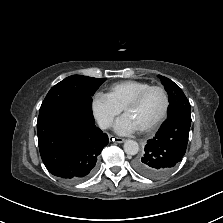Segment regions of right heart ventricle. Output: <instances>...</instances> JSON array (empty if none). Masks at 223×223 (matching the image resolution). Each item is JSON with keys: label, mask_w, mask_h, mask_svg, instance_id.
<instances>
[{"label": "right heart ventricle", "mask_w": 223, "mask_h": 223, "mask_svg": "<svg viewBox=\"0 0 223 223\" xmlns=\"http://www.w3.org/2000/svg\"><path fill=\"white\" fill-rule=\"evenodd\" d=\"M151 86L150 83L139 80H125L117 82L108 88L107 95L121 109L140 91Z\"/></svg>", "instance_id": "right-heart-ventricle-1"}]
</instances>
